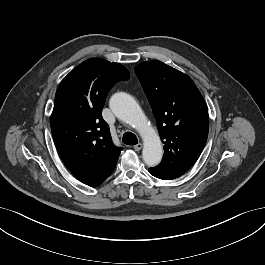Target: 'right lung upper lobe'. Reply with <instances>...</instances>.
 <instances>
[{
    "label": "right lung upper lobe",
    "instance_id": "cb5924a9",
    "mask_svg": "<svg viewBox=\"0 0 265 265\" xmlns=\"http://www.w3.org/2000/svg\"><path fill=\"white\" fill-rule=\"evenodd\" d=\"M129 77L124 66L91 58L61 81L51 131L63 163L77 179L95 177L118 159L122 148L113 144L101 113L109 90Z\"/></svg>",
    "mask_w": 265,
    "mask_h": 265
}]
</instances>
